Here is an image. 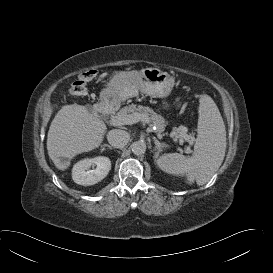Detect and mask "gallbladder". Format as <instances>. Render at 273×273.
<instances>
[{
    "label": "gallbladder",
    "instance_id": "1",
    "mask_svg": "<svg viewBox=\"0 0 273 273\" xmlns=\"http://www.w3.org/2000/svg\"><path fill=\"white\" fill-rule=\"evenodd\" d=\"M86 108L88 109L89 112H93V109L91 106L87 105Z\"/></svg>",
    "mask_w": 273,
    "mask_h": 273
}]
</instances>
